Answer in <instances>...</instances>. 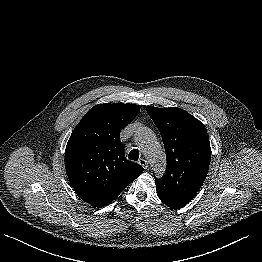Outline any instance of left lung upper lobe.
I'll use <instances>...</instances> for the list:
<instances>
[{
	"mask_svg": "<svg viewBox=\"0 0 262 262\" xmlns=\"http://www.w3.org/2000/svg\"><path fill=\"white\" fill-rule=\"evenodd\" d=\"M165 146L166 174L156 179L157 195L188 204L207 176L211 148L205 126L188 112L177 108L147 106Z\"/></svg>",
	"mask_w": 262,
	"mask_h": 262,
	"instance_id": "obj_1",
	"label": "left lung upper lobe"
}]
</instances>
